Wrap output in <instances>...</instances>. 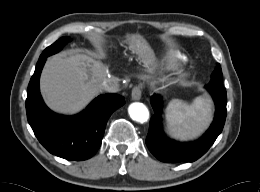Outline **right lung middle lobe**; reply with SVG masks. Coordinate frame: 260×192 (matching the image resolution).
Masks as SVG:
<instances>
[{
	"instance_id": "dd1d6c3e",
	"label": "right lung middle lobe",
	"mask_w": 260,
	"mask_h": 192,
	"mask_svg": "<svg viewBox=\"0 0 260 192\" xmlns=\"http://www.w3.org/2000/svg\"><path fill=\"white\" fill-rule=\"evenodd\" d=\"M69 41L67 37H62L58 39L55 43H53L51 46L47 47L43 53L41 54L40 58H47L50 55H53L57 52H59L62 47Z\"/></svg>"
}]
</instances>
